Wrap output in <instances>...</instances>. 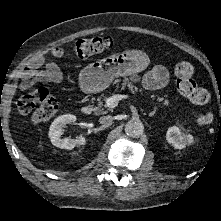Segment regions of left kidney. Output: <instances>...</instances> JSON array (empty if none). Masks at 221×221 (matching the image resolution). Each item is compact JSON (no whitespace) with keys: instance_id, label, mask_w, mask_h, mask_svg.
I'll use <instances>...</instances> for the list:
<instances>
[{"instance_id":"5707ae66","label":"left kidney","mask_w":221,"mask_h":221,"mask_svg":"<svg viewBox=\"0 0 221 221\" xmlns=\"http://www.w3.org/2000/svg\"><path fill=\"white\" fill-rule=\"evenodd\" d=\"M166 140L175 148L183 149L186 147V145L193 142V136L190 134H184L179 127L173 126L167 130Z\"/></svg>"}]
</instances>
